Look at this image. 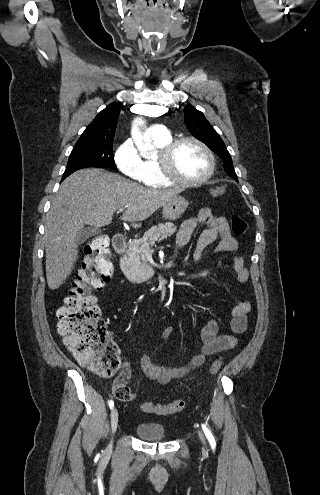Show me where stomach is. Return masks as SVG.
Here are the masks:
<instances>
[{"instance_id":"1","label":"stomach","mask_w":320,"mask_h":495,"mask_svg":"<svg viewBox=\"0 0 320 495\" xmlns=\"http://www.w3.org/2000/svg\"><path fill=\"white\" fill-rule=\"evenodd\" d=\"M189 206V202L181 196H175L162 208L163 218L169 221L179 219Z\"/></svg>"}]
</instances>
